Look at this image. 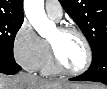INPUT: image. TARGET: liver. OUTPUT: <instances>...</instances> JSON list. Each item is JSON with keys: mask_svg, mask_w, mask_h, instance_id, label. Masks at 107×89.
Here are the masks:
<instances>
[{"mask_svg": "<svg viewBox=\"0 0 107 89\" xmlns=\"http://www.w3.org/2000/svg\"><path fill=\"white\" fill-rule=\"evenodd\" d=\"M65 85L78 89H105V86L99 84L63 83L61 81L42 79L32 74L25 75L24 73H20L14 76L0 75V89H58Z\"/></svg>", "mask_w": 107, "mask_h": 89, "instance_id": "6515ba94", "label": "liver"}]
</instances>
